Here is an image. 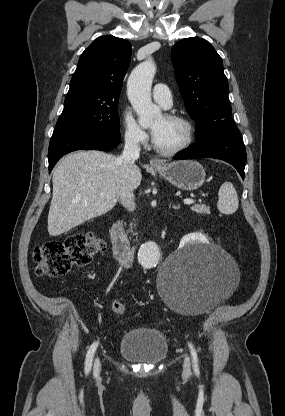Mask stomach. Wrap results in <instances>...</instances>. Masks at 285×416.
Segmentation results:
<instances>
[{
  "instance_id": "1",
  "label": "stomach",
  "mask_w": 285,
  "mask_h": 416,
  "mask_svg": "<svg viewBox=\"0 0 285 416\" xmlns=\"http://www.w3.org/2000/svg\"><path fill=\"white\" fill-rule=\"evenodd\" d=\"M162 178L168 180L170 184L179 188V190H198L205 180L204 168L198 162L193 160H180V162H171V164H160L155 168Z\"/></svg>"
}]
</instances>
